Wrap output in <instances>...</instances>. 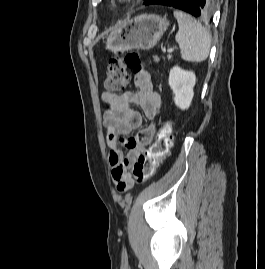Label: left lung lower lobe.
<instances>
[{"instance_id":"obj_1","label":"left lung lower lobe","mask_w":265,"mask_h":269,"mask_svg":"<svg viewBox=\"0 0 265 269\" xmlns=\"http://www.w3.org/2000/svg\"><path fill=\"white\" fill-rule=\"evenodd\" d=\"M144 4L174 7L202 19L209 18L213 13V0H147Z\"/></svg>"}]
</instances>
